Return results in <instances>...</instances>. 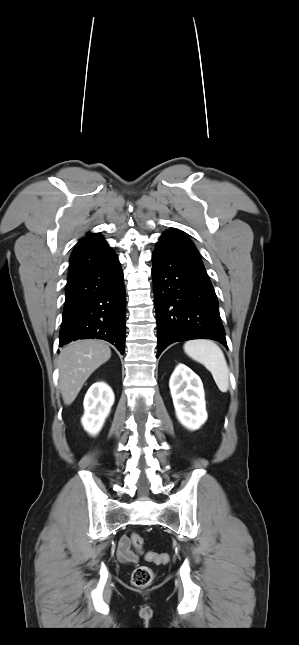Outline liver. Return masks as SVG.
Returning a JSON list of instances; mask_svg holds the SVG:
<instances>
[{
	"mask_svg": "<svg viewBox=\"0 0 299 645\" xmlns=\"http://www.w3.org/2000/svg\"><path fill=\"white\" fill-rule=\"evenodd\" d=\"M111 357L100 340H77L61 350L58 359L59 387L64 404L70 405L90 375Z\"/></svg>",
	"mask_w": 299,
	"mask_h": 645,
	"instance_id": "obj_1",
	"label": "liver"
}]
</instances>
